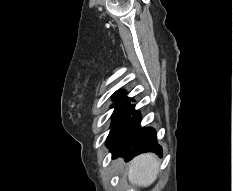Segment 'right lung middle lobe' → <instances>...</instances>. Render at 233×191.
<instances>
[{"label":"right lung middle lobe","instance_id":"1","mask_svg":"<svg viewBox=\"0 0 233 191\" xmlns=\"http://www.w3.org/2000/svg\"><path fill=\"white\" fill-rule=\"evenodd\" d=\"M120 99V98H119ZM117 100V99H114ZM129 105V102L127 99L119 100L115 103L112 104V108L115 107V111L113 113V122H112V127L118 122L120 117L124 114V112L127 110Z\"/></svg>","mask_w":233,"mask_h":191}]
</instances>
